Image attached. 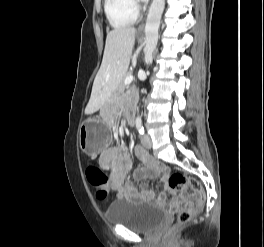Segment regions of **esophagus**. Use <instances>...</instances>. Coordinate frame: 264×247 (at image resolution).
<instances>
[{"label": "esophagus", "instance_id": "obj_1", "mask_svg": "<svg viewBox=\"0 0 264 247\" xmlns=\"http://www.w3.org/2000/svg\"><path fill=\"white\" fill-rule=\"evenodd\" d=\"M144 22L143 23H141V25L139 26V28H138V32L139 33H141L142 31H143V29H144Z\"/></svg>", "mask_w": 264, "mask_h": 247}]
</instances>
